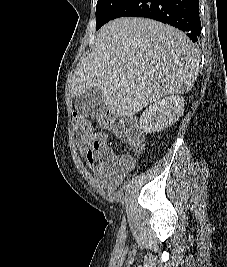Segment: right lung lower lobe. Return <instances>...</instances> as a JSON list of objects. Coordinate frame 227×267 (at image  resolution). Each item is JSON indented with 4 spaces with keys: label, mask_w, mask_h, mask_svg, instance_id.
<instances>
[{
    "label": "right lung lower lobe",
    "mask_w": 227,
    "mask_h": 267,
    "mask_svg": "<svg viewBox=\"0 0 227 267\" xmlns=\"http://www.w3.org/2000/svg\"><path fill=\"white\" fill-rule=\"evenodd\" d=\"M133 16L154 19L172 25L197 42L201 34L199 0H128L113 19Z\"/></svg>",
    "instance_id": "98d812e1"
}]
</instances>
